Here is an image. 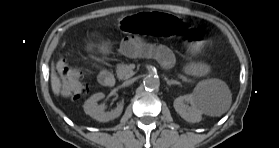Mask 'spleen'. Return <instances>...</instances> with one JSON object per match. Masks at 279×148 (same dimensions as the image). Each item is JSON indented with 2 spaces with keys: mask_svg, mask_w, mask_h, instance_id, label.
<instances>
[{
  "mask_svg": "<svg viewBox=\"0 0 279 148\" xmlns=\"http://www.w3.org/2000/svg\"><path fill=\"white\" fill-rule=\"evenodd\" d=\"M222 92L226 97V100L222 103L221 96L217 95ZM194 92L203 100L212 101L219 106L217 115H220L227 111L231 104V94L228 87L218 79H209L199 83Z\"/></svg>",
  "mask_w": 279,
  "mask_h": 148,
  "instance_id": "spleen-1",
  "label": "spleen"
}]
</instances>
